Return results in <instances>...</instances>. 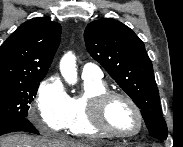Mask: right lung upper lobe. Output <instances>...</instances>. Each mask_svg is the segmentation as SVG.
Wrapping results in <instances>:
<instances>
[{
    "mask_svg": "<svg viewBox=\"0 0 183 147\" xmlns=\"http://www.w3.org/2000/svg\"><path fill=\"white\" fill-rule=\"evenodd\" d=\"M61 26L47 18L21 24L0 47V83L45 77L59 46Z\"/></svg>",
    "mask_w": 183,
    "mask_h": 147,
    "instance_id": "1",
    "label": "right lung upper lobe"
}]
</instances>
